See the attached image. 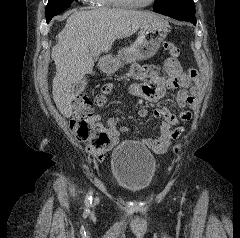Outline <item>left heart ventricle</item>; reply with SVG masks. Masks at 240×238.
<instances>
[{
  "label": "left heart ventricle",
  "instance_id": "obj_1",
  "mask_svg": "<svg viewBox=\"0 0 240 238\" xmlns=\"http://www.w3.org/2000/svg\"><path fill=\"white\" fill-rule=\"evenodd\" d=\"M128 1H132V2H138V3H145L149 0H128Z\"/></svg>",
  "mask_w": 240,
  "mask_h": 238
}]
</instances>
